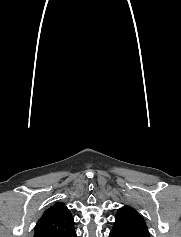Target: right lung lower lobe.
<instances>
[{
	"mask_svg": "<svg viewBox=\"0 0 181 237\" xmlns=\"http://www.w3.org/2000/svg\"><path fill=\"white\" fill-rule=\"evenodd\" d=\"M71 237H76V233L74 232V233L71 235Z\"/></svg>",
	"mask_w": 181,
	"mask_h": 237,
	"instance_id": "1",
	"label": "right lung lower lobe"
}]
</instances>
